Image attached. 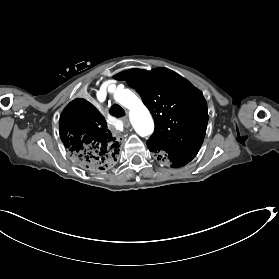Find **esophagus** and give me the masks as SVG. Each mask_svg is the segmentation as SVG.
Listing matches in <instances>:
<instances>
[{
	"instance_id": "1",
	"label": "esophagus",
	"mask_w": 279,
	"mask_h": 279,
	"mask_svg": "<svg viewBox=\"0 0 279 279\" xmlns=\"http://www.w3.org/2000/svg\"><path fill=\"white\" fill-rule=\"evenodd\" d=\"M120 119L123 122L125 128L130 127V121H129V119L127 117H122Z\"/></svg>"
}]
</instances>
